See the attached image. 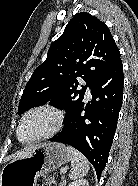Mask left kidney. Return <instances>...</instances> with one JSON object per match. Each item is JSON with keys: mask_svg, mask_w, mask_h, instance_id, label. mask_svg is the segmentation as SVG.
<instances>
[{"mask_svg": "<svg viewBox=\"0 0 138 186\" xmlns=\"http://www.w3.org/2000/svg\"><path fill=\"white\" fill-rule=\"evenodd\" d=\"M69 186H89V183L86 179H78L69 184Z\"/></svg>", "mask_w": 138, "mask_h": 186, "instance_id": "left-kidney-1", "label": "left kidney"}]
</instances>
